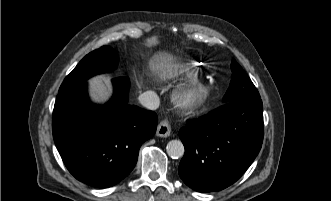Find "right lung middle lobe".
<instances>
[{"label": "right lung middle lobe", "mask_w": 331, "mask_h": 201, "mask_svg": "<svg viewBox=\"0 0 331 201\" xmlns=\"http://www.w3.org/2000/svg\"><path fill=\"white\" fill-rule=\"evenodd\" d=\"M118 63L117 52L109 46H102L86 55L75 69L64 79L59 94L85 83L93 75L113 71Z\"/></svg>", "instance_id": "right-lung-middle-lobe-1"}]
</instances>
